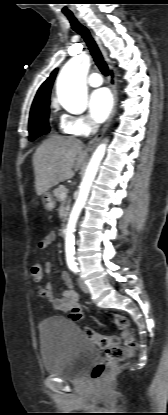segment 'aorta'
Listing matches in <instances>:
<instances>
[{"mask_svg": "<svg viewBox=\"0 0 168 415\" xmlns=\"http://www.w3.org/2000/svg\"><path fill=\"white\" fill-rule=\"evenodd\" d=\"M90 66L88 55L72 58L60 71L57 78V96L60 104L71 113H82L87 106L86 76ZM106 143H101L93 153L81 182L79 194L72 208L66 228L65 252L69 265H74V232L92 183L105 155Z\"/></svg>", "mask_w": 168, "mask_h": 415, "instance_id": "1", "label": "aorta"}]
</instances>
